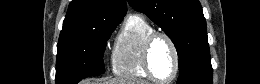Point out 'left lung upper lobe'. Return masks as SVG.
I'll return each mask as SVG.
<instances>
[{"label": "left lung upper lobe", "instance_id": "5c2ea615", "mask_svg": "<svg viewBox=\"0 0 260 84\" xmlns=\"http://www.w3.org/2000/svg\"><path fill=\"white\" fill-rule=\"evenodd\" d=\"M172 40L179 56L177 84H212L206 21L198 0H128Z\"/></svg>", "mask_w": 260, "mask_h": 84}]
</instances>
